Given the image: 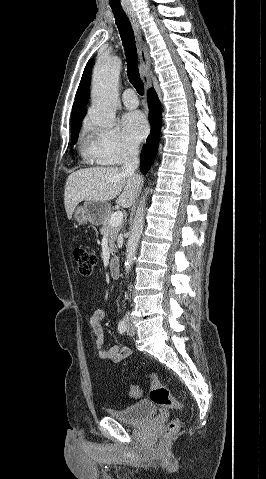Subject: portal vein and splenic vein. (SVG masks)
<instances>
[{"mask_svg": "<svg viewBox=\"0 0 266 479\" xmlns=\"http://www.w3.org/2000/svg\"><path fill=\"white\" fill-rule=\"evenodd\" d=\"M123 221V213L121 211L115 212L110 218L111 226H119Z\"/></svg>", "mask_w": 266, "mask_h": 479, "instance_id": "portal-vein-and-splenic-vein-1", "label": "portal vein and splenic vein"}]
</instances>
